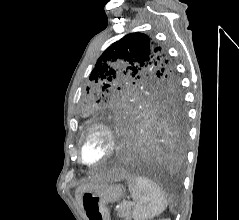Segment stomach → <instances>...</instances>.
Instances as JSON below:
<instances>
[{"label": "stomach", "instance_id": "stomach-1", "mask_svg": "<svg viewBox=\"0 0 239 220\" xmlns=\"http://www.w3.org/2000/svg\"><path fill=\"white\" fill-rule=\"evenodd\" d=\"M120 184L108 183L84 192L81 196V208L87 220H120L122 212L119 205H107L120 200L124 194Z\"/></svg>", "mask_w": 239, "mask_h": 220}]
</instances>
